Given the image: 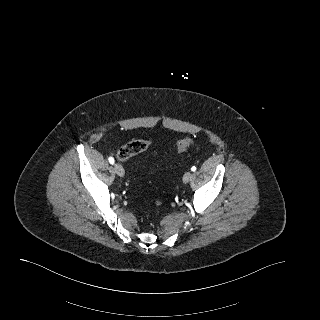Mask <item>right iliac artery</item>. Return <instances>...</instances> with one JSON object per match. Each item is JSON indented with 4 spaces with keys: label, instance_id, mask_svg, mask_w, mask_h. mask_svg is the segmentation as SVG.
I'll use <instances>...</instances> for the list:
<instances>
[{
    "label": "right iliac artery",
    "instance_id": "82829eb1",
    "mask_svg": "<svg viewBox=\"0 0 320 320\" xmlns=\"http://www.w3.org/2000/svg\"><path fill=\"white\" fill-rule=\"evenodd\" d=\"M109 162H110V164H114V158H113V157H110V158H109Z\"/></svg>",
    "mask_w": 320,
    "mask_h": 320
}]
</instances>
